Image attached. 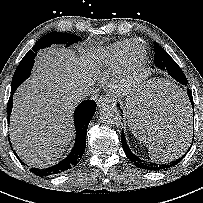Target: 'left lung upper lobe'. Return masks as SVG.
<instances>
[{"label":"left lung upper lobe","instance_id":"1","mask_svg":"<svg viewBox=\"0 0 203 203\" xmlns=\"http://www.w3.org/2000/svg\"><path fill=\"white\" fill-rule=\"evenodd\" d=\"M154 51H155V54H154V61H155V64L158 68H160V66H158L157 64V58L162 54L164 53H167L164 49L161 48V46H159L157 43L155 44V47H154Z\"/></svg>","mask_w":203,"mask_h":203}]
</instances>
